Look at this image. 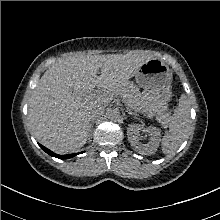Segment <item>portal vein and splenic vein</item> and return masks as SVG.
Here are the masks:
<instances>
[{
	"mask_svg": "<svg viewBox=\"0 0 220 220\" xmlns=\"http://www.w3.org/2000/svg\"><path fill=\"white\" fill-rule=\"evenodd\" d=\"M96 94L95 93H89L87 96L90 97V96H95Z\"/></svg>",
	"mask_w": 220,
	"mask_h": 220,
	"instance_id": "portal-vein-and-splenic-vein-1",
	"label": "portal vein and splenic vein"
}]
</instances>
